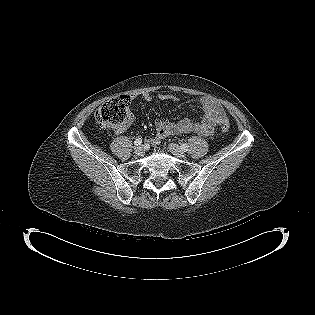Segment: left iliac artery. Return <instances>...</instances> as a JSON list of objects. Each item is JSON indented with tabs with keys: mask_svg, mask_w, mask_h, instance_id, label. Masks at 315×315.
<instances>
[{
	"mask_svg": "<svg viewBox=\"0 0 315 315\" xmlns=\"http://www.w3.org/2000/svg\"><path fill=\"white\" fill-rule=\"evenodd\" d=\"M181 149H182L183 151H187V150L189 149V146H188L187 144H182V145H181Z\"/></svg>",
	"mask_w": 315,
	"mask_h": 315,
	"instance_id": "left-iliac-artery-1",
	"label": "left iliac artery"
}]
</instances>
